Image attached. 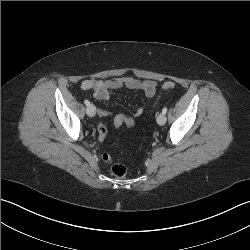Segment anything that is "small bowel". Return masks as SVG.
<instances>
[{
  "label": "small bowel",
  "mask_w": 250,
  "mask_h": 250,
  "mask_svg": "<svg viewBox=\"0 0 250 250\" xmlns=\"http://www.w3.org/2000/svg\"><path fill=\"white\" fill-rule=\"evenodd\" d=\"M80 88L83 91H93L94 97L98 100L107 101L113 91L121 88L141 91L146 97L152 98L156 93L157 83L152 80H141L134 77L125 76L115 77L110 80H84L81 83ZM142 113V109L137 110L135 113V117H139L140 115H142ZM99 115L107 116V112L104 110H100Z\"/></svg>",
  "instance_id": "obj_1"
}]
</instances>
